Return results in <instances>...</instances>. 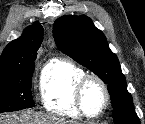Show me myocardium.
<instances>
[{"label":"myocardium","mask_w":145,"mask_h":124,"mask_svg":"<svg viewBox=\"0 0 145 124\" xmlns=\"http://www.w3.org/2000/svg\"><path fill=\"white\" fill-rule=\"evenodd\" d=\"M90 83H96L97 85H99L104 94L103 105H102L100 111L97 112L96 114L87 113L85 110V107H84V93H85L87 86ZM75 103H76V107H77L79 113L81 114V116L88 118V119H96V118L101 117L105 113V111L110 103V92H109L107 84L97 75L86 74L76 84Z\"/></svg>","instance_id":"obj_1"}]
</instances>
